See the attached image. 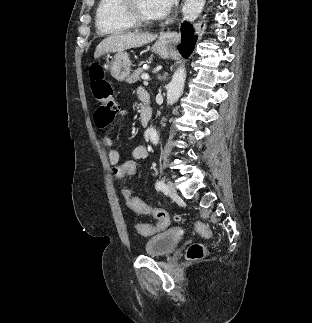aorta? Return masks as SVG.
<instances>
[{
	"label": "aorta",
	"mask_w": 312,
	"mask_h": 323,
	"mask_svg": "<svg viewBox=\"0 0 312 323\" xmlns=\"http://www.w3.org/2000/svg\"><path fill=\"white\" fill-rule=\"evenodd\" d=\"M185 78L186 72L185 70H183V68H180V70H177V72H175L170 84H168L167 86L168 106H172V104H174V102H177L178 98H180L183 92ZM147 132L150 142H152L154 146H157L159 142L158 132H156L155 128H148Z\"/></svg>",
	"instance_id": "obj_1"
}]
</instances>
